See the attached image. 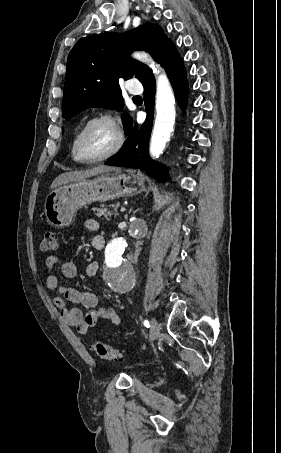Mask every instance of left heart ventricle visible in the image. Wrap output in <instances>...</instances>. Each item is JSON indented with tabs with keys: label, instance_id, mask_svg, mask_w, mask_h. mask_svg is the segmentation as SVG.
<instances>
[{
	"label": "left heart ventricle",
	"instance_id": "1",
	"mask_svg": "<svg viewBox=\"0 0 281 453\" xmlns=\"http://www.w3.org/2000/svg\"><path fill=\"white\" fill-rule=\"evenodd\" d=\"M116 142L115 130L104 123L91 126L84 134L79 155L83 159L92 158L107 151Z\"/></svg>",
	"mask_w": 281,
	"mask_h": 453
}]
</instances>
